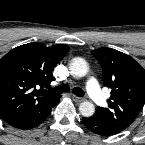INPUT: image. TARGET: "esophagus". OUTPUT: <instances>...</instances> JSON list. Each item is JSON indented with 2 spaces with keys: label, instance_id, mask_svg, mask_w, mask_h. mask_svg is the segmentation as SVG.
<instances>
[{
  "label": "esophagus",
  "instance_id": "esophagus-1",
  "mask_svg": "<svg viewBox=\"0 0 145 145\" xmlns=\"http://www.w3.org/2000/svg\"><path fill=\"white\" fill-rule=\"evenodd\" d=\"M72 98L76 103H81L85 100L84 98H80V97L75 96V95H73Z\"/></svg>",
  "mask_w": 145,
  "mask_h": 145
}]
</instances>
